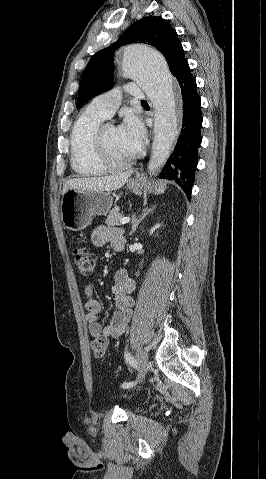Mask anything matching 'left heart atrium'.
I'll return each mask as SVG.
<instances>
[{"label": "left heart atrium", "instance_id": "1", "mask_svg": "<svg viewBox=\"0 0 266 479\" xmlns=\"http://www.w3.org/2000/svg\"><path fill=\"white\" fill-rule=\"evenodd\" d=\"M118 134L126 152L132 156L141 148L144 138V129L140 121L134 116H127L118 128Z\"/></svg>", "mask_w": 266, "mask_h": 479}]
</instances>
